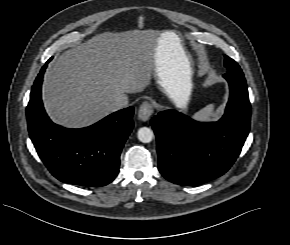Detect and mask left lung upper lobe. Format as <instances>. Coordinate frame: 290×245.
<instances>
[{"mask_svg":"<svg viewBox=\"0 0 290 245\" xmlns=\"http://www.w3.org/2000/svg\"><path fill=\"white\" fill-rule=\"evenodd\" d=\"M224 65L227 72L243 73L240 66L230 57L225 55Z\"/></svg>","mask_w":290,"mask_h":245,"instance_id":"5c2ea615","label":"left lung upper lobe"}]
</instances>
